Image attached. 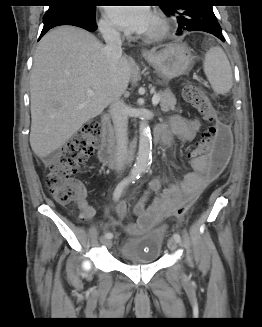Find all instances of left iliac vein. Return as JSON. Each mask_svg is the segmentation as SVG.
<instances>
[{
  "mask_svg": "<svg viewBox=\"0 0 262 327\" xmlns=\"http://www.w3.org/2000/svg\"><path fill=\"white\" fill-rule=\"evenodd\" d=\"M167 246L168 248L171 250V251H176L177 249V242L174 238H169L168 239V243H167Z\"/></svg>",
  "mask_w": 262,
  "mask_h": 327,
  "instance_id": "1",
  "label": "left iliac vein"
}]
</instances>
